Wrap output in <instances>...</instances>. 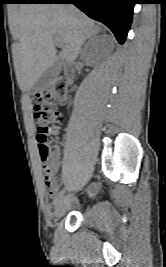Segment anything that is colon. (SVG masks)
<instances>
[{"label": "colon", "instance_id": "obj_1", "mask_svg": "<svg viewBox=\"0 0 166 267\" xmlns=\"http://www.w3.org/2000/svg\"><path fill=\"white\" fill-rule=\"evenodd\" d=\"M70 99L68 82L63 78L55 80L34 97L33 116L38 126L39 155L43 164L44 174L47 177L54 173L53 159L55 154L54 147L49 143V136L54 126L62 118L59 107L67 105Z\"/></svg>", "mask_w": 166, "mask_h": 267}]
</instances>
